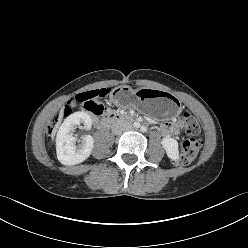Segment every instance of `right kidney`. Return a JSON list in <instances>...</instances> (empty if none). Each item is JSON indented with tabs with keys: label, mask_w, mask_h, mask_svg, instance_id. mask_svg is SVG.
I'll return each instance as SVG.
<instances>
[{
	"label": "right kidney",
	"mask_w": 248,
	"mask_h": 248,
	"mask_svg": "<svg viewBox=\"0 0 248 248\" xmlns=\"http://www.w3.org/2000/svg\"><path fill=\"white\" fill-rule=\"evenodd\" d=\"M84 124L86 129L92 125L91 118L86 112H75L67 117L60 126L56 137L57 158L63 165H75L85 161L91 154L94 139L85 135L79 146L75 145L74 131L77 125Z\"/></svg>",
	"instance_id": "ca27d5eb"
}]
</instances>
